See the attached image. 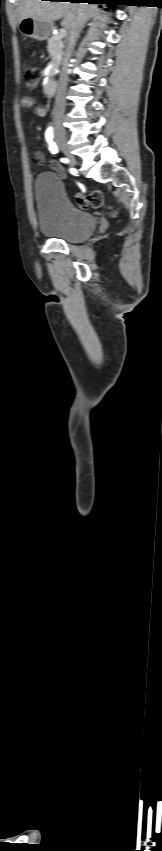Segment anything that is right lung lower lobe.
Returning a JSON list of instances; mask_svg holds the SVG:
<instances>
[{
    "label": "right lung lower lobe",
    "mask_w": 162,
    "mask_h": 851,
    "mask_svg": "<svg viewBox=\"0 0 162 851\" xmlns=\"http://www.w3.org/2000/svg\"><path fill=\"white\" fill-rule=\"evenodd\" d=\"M52 1H62V0H52ZM69 2H87L90 4H108L110 7H114L119 4L120 0H68Z\"/></svg>",
    "instance_id": "right-lung-lower-lobe-1"
}]
</instances>
